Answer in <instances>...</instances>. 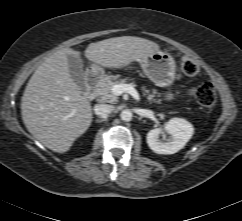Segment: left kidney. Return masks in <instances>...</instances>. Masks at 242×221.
Returning a JSON list of instances; mask_svg holds the SVG:
<instances>
[{
	"label": "left kidney",
	"mask_w": 242,
	"mask_h": 221,
	"mask_svg": "<svg viewBox=\"0 0 242 221\" xmlns=\"http://www.w3.org/2000/svg\"><path fill=\"white\" fill-rule=\"evenodd\" d=\"M164 132L170 135L161 141ZM194 134L193 125L182 118H172L163 129H152L147 133V144L157 154H174L182 149Z\"/></svg>",
	"instance_id": "5707ae66"
}]
</instances>
